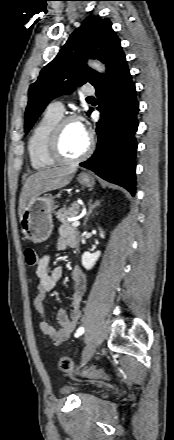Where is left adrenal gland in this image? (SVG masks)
<instances>
[{
  "instance_id": "obj_1",
  "label": "left adrenal gland",
  "mask_w": 174,
  "mask_h": 440,
  "mask_svg": "<svg viewBox=\"0 0 174 440\" xmlns=\"http://www.w3.org/2000/svg\"><path fill=\"white\" fill-rule=\"evenodd\" d=\"M99 205H100V201H96L94 204H92V201L90 200V202H89V210H88V212H87L86 215H85V220H84V223H83L84 226L86 225L89 216L92 214V211H93L97 206H99Z\"/></svg>"
}]
</instances>
